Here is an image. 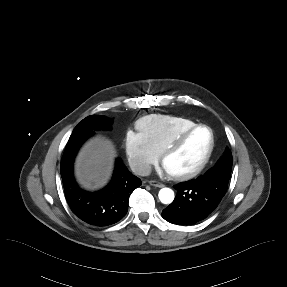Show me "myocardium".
I'll return each instance as SVG.
<instances>
[{
    "label": "myocardium",
    "mask_w": 287,
    "mask_h": 287,
    "mask_svg": "<svg viewBox=\"0 0 287 287\" xmlns=\"http://www.w3.org/2000/svg\"><path fill=\"white\" fill-rule=\"evenodd\" d=\"M200 128H205L209 131L210 133V145L209 148L205 154V156L203 157V159L201 160V162L192 170L188 171V172H184V173H179V174H169V177L173 180H177V181H185V180H189L192 179L194 177H196L197 175H199L207 166V164L209 163L213 152H214V148H215V135L213 132V129L206 125V124H196L184 131H182L180 134H178L166 147L165 149L162 151L161 153V158L160 161L163 164L165 159L171 155L172 153H174L177 149H179L181 147V145L186 141V139L196 130L200 129Z\"/></svg>",
    "instance_id": "1"
}]
</instances>
